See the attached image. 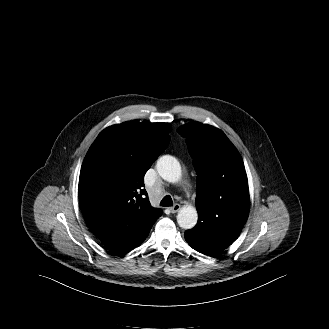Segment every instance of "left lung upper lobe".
I'll return each instance as SVG.
<instances>
[{
    "mask_svg": "<svg viewBox=\"0 0 329 329\" xmlns=\"http://www.w3.org/2000/svg\"><path fill=\"white\" fill-rule=\"evenodd\" d=\"M177 132L186 138L197 172V236L212 239L225 228H242L249 214V189L244 163L227 136L199 122Z\"/></svg>",
    "mask_w": 329,
    "mask_h": 329,
    "instance_id": "1",
    "label": "left lung upper lobe"
}]
</instances>
